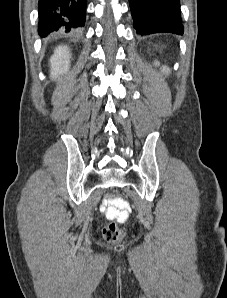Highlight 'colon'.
<instances>
[{
  "label": "colon",
  "mask_w": 227,
  "mask_h": 298,
  "mask_svg": "<svg viewBox=\"0 0 227 298\" xmlns=\"http://www.w3.org/2000/svg\"><path fill=\"white\" fill-rule=\"evenodd\" d=\"M108 205L105 213L108 222L103 227V236L109 243H118L124 238V231L119 227L116 221H123L128 214L126 202L117 197L108 198Z\"/></svg>",
  "instance_id": "5ec220e1"
}]
</instances>
